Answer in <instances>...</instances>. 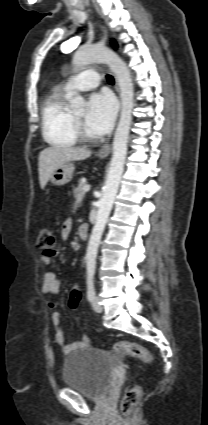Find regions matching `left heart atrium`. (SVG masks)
<instances>
[{
	"mask_svg": "<svg viewBox=\"0 0 208 425\" xmlns=\"http://www.w3.org/2000/svg\"><path fill=\"white\" fill-rule=\"evenodd\" d=\"M115 99L108 93H98L91 96L88 111L85 116V128L94 136L108 133L116 117Z\"/></svg>",
	"mask_w": 208,
	"mask_h": 425,
	"instance_id": "39dd6f15",
	"label": "left heart atrium"
}]
</instances>
